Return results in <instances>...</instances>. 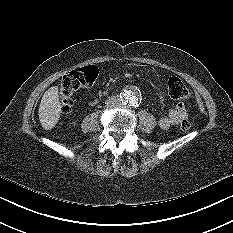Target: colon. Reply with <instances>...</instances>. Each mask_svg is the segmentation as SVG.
<instances>
[{
    "label": "colon",
    "mask_w": 233,
    "mask_h": 233,
    "mask_svg": "<svg viewBox=\"0 0 233 233\" xmlns=\"http://www.w3.org/2000/svg\"><path fill=\"white\" fill-rule=\"evenodd\" d=\"M99 77V70L95 65H88L66 73L61 82L60 104L62 113L70 112L73 106V94L81 88H89L95 84ZM168 93L175 100H187L191 91L178 77H170L167 82ZM179 127L182 131L190 128L187 119L181 120Z\"/></svg>",
    "instance_id": "colon-1"
}]
</instances>
